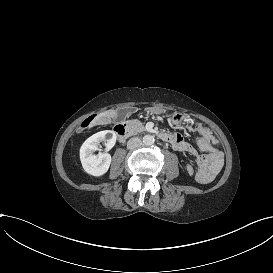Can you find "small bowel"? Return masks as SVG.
<instances>
[{
  "mask_svg": "<svg viewBox=\"0 0 273 273\" xmlns=\"http://www.w3.org/2000/svg\"><path fill=\"white\" fill-rule=\"evenodd\" d=\"M191 129L199 135L196 143H197L199 150L202 151L203 154H198V151L196 148H194L192 145H190L189 143L184 142V141H182V142L178 141L177 147L185 153H188L193 156H197V163H198L199 170H200L201 160L203 159V157L205 155H207L208 153H213V152L219 153L222 156H223V154L220 150H218L217 148L214 147V145L217 143V139L212 134V132L209 128H207L206 126H204L202 124H196L193 127H191ZM172 142H173V136H172V140L170 143H172ZM186 171L188 174L192 175L194 173V167L192 165H187ZM197 176H198V173H197ZM197 179H198V177H197Z\"/></svg>",
  "mask_w": 273,
  "mask_h": 273,
  "instance_id": "small-bowel-1",
  "label": "small bowel"
}]
</instances>
